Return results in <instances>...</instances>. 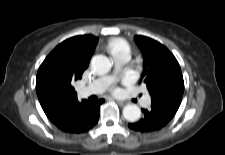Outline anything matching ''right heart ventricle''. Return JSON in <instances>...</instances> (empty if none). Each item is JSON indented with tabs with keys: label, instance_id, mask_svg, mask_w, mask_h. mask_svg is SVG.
<instances>
[{
	"label": "right heart ventricle",
	"instance_id": "right-heart-ventricle-1",
	"mask_svg": "<svg viewBox=\"0 0 225 155\" xmlns=\"http://www.w3.org/2000/svg\"><path fill=\"white\" fill-rule=\"evenodd\" d=\"M107 48L111 54H113L119 50H122V49L129 50L128 44L123 39H120V38H115V39L110 40Z\"/></svg>",
	"mask_w": 225,
	"mask_h": 155
}]
</instances>
